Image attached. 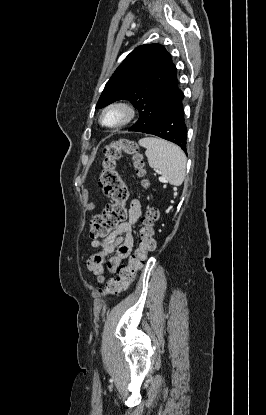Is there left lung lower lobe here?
Returning a JSON list of instances; mask_svg holds the SVG:
<instances>
[{
	"mask_svg": "<svg viewBox=\"0 0 266 415\" xmlns=\"http://www.w3.org/2000/svg\"><path fill=\"white\" fill-rule=\"evenodd\" d=\"M183 98L184 95L182 93L167 114L143 132L174 142L186 153L187 129L185 126Z\"/></svg>",
	"mask_w": 266,
	"mask_h": 415,
	"instance_id": "1",
	"label": "left lung lower lobe"
}]
</instances>
